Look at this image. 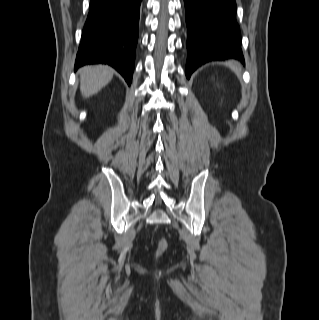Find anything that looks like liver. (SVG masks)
<instances>
[{
    "label": "liver",
    "mask_w": 319,
    "mask_h": 320,
    "mask_svg": "<svg viewBox=\"0 0 319 320\" xmlns=\"http://www.w3.org/2000/svg\"><path fill=\"white\" fill-rule=\"evenodd\" d=\"M80 91L88 98L98 93L113 78V71L105 65L85 66L79 70Z\"/></svg>",
    "instance_id": "1"
}]
</instances>
